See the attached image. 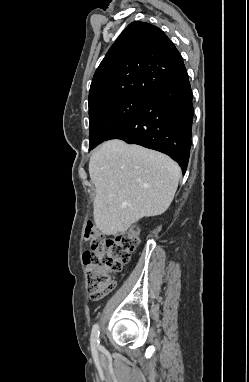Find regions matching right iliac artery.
<instances>
[{
    "label": "right iliac artery",
    "instance_id": "1",
    "mask_svg": "<svg viewBox=\"0 0 249 382\" xmlns=\"http://www.w3.org/2000/svg\"><path fill=\"white\" fill-rule=\"evenodd\" d=\"M99 325L95 324L92 328V333H91V346L93 348H96L99 346Z\"/></svg>",
    "mask_w": 249,
    "mask_h": 382
}]
</instances>
